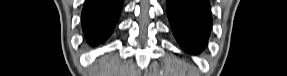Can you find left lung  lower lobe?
I'll list each match as a JSON object with an SVG mask.
<instances>
[{
	"instance_id": "left-lung-lower-lobe-1",
	"label": "left lung lower lobe",
	"mask_w": 287,
	"mask_h": 76,
	"mask_svg": "<svg viewBox=\"0 0 287 76\" xmlns=\"http://www.w3.org/2000/svg\"><path fill=\"white\" fill-rule=\"evenodd\" d=\"M167 15L177 42L189 54H199L207 44L212 16L209 0H166Z\"/></svg>"
}]
</instances>
